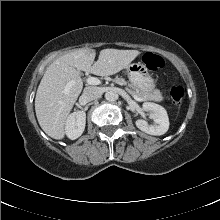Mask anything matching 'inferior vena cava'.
I'll return each instance as SVG.
<instances>
[{"instance_id":"1","label":"inferior vena cava","mask_w":220,"mask_h":220,"mask_svg":"<svg viewBox=\"0 0 220 220\" xmlns=\"http://www.w3.org/2000/svg\"><path fill=\"white\" fill-rule=\"evenodd\" d=\"M102 94L101 88L88 86L83 90V97L88 101H93L98 99Z\"/></svg>"}]
</instances>
